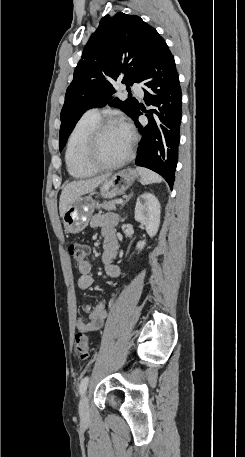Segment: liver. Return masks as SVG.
I'll list each match as a JSON object with an SVG mask.
<instances>
[{
  "label": "liver",
  "mask_w": 245,
  "mask_h": 457,
  "mask_svg": "<svg viewBox=\"0 0 245 457\" xmlns=\"http://www.w3.org/2000/svg\"><path fill=\"white\" fill-rule=\"evenodd\" d=\"M110 174L111 172H108V174H101V176H95V178H89V180H73V182H68L65 188H63L60 196V216H64L66 208H68L69 204H72L75 198H78L81 194H86V192L94 190L96 186H99L104 180H107Z\"/></svg>",
  "instance_id": "1"
}]
</instances>
